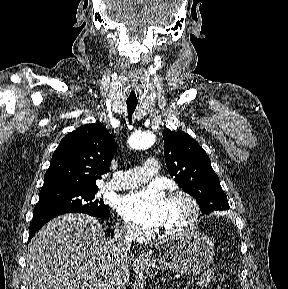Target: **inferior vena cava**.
<instances>
[{"label":"inferior vena cava","instance_id":"inferior-vena-cava-1","mask_svg":"<svg viewBox=\"0 0 288 289\" xmlns=\"http://www.w3.org/2000/svg\"><path fill=\"white\" fill-rule=\"evenodd\" d=\"M137 231L130 224L117 225L115 235L110 240L112 261L110 268L102 272L95 284V289H117V281L121 277V268L127 260L131 243L135 240Z\"/></svg>","mask_w":288,"mask_h":289}]
</instances>
